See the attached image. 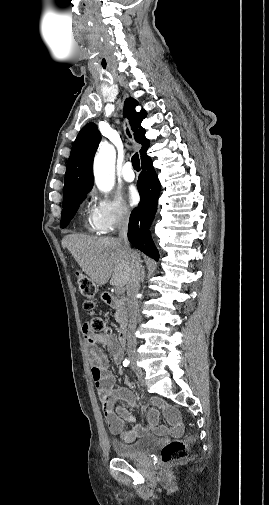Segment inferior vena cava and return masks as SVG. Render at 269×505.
<instances>
[{
	"label": "inferior vena cava",
	"mask_w": 269,
	"mask_h": 505,
	"mask_svg": "<svg viewBox=\"0 0 269 505\" xmlns=\"http://www.w3.org/2000/svg\"><path fill=\"white\" fill-rule=\"evenodd\" d=\"M118 240L122 244L123 249L127 252L131 266V277L127 285V309L129 316V324L127 329V350L134 351L136 349L137 341L135 337V329L138 320V302L136 295L138 293L139 281L142 277V266L140 258L131 250L127 238L128 232V216L120 215L118 222Z\"/></svg>",
	"instance_id": "1"
}]
</instances>
